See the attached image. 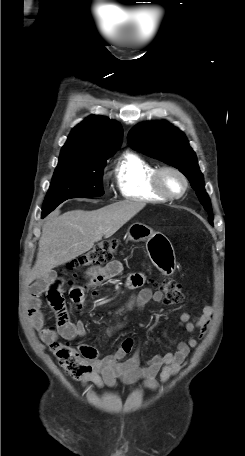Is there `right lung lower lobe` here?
<instances>
[{
	"label": "right lung lower lobe",
	"instance_id": "98d812e1",
	"mask_svg": "<svg viewBox=\"0 0 245 456\" xmlns=\"http://www.w3.org/2000/svg\"><path fill=\"white\" fill-rule=\"evenodd\" d=\"M45 216H46V215H43V214H42V218L45 217Z\"/></svg>",
	"mask_w": 245,
	"mask_h": 456
}]
</instances>
